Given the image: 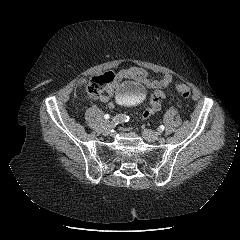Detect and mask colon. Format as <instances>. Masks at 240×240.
Returning <instances> with one entry per match:
<instances>
[{"mask_svg": "<svg viewBox=\"0 0 240 240\" xmlns=\"http://www.w3.org/2000/svg\"><path fill=\"white\" fill-rule=\"evenodd\" d=\"M113 80L112 73L108 72L99 76L91 78L85 85L86 93L94 98L102 95L104 89ZM174 90L178 92L183 98L187 99L191 95L190 88L182 83L175 84Z\"/></svg>", "mask_w": 240, "mask_h": 240, "instance_id": "obj_1", "label": "colon"}]
</instances>
